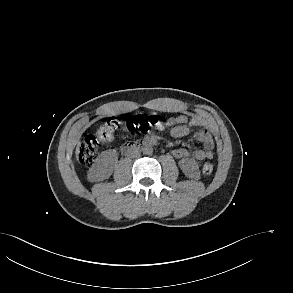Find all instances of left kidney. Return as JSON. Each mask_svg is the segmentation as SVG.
I'll list each match as a JSON object with an SVG mask.
<instances>
[{
  "label": "left kidney",
  "mask_w": 293,
  "mask_h": 293,
  "mask_svg": "<svg viewBox=\"0 0 293 293\" xmlns=\"http://www.w3.org/2000/svg\"><path fill=\"white\" fill-rule=\"evenodd\" d=\"M179 166L184 174L189 178L198 179L200 177L199 165L194 159H182Z\"/></svg>",
  "instance_id": "5707ae66"
}]
</instances>
